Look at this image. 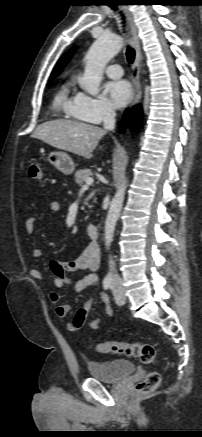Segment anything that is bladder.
<instances>
[{"instance_id": "obj_1", "label": "bladder", "mask_w": 202, "mask_h": 437, "mask_svg": "<svg viewBox=\"0 0 202 437\" xmlns=\"http://www.w3.org/2000/svg\"><path fill=\"white\" fill-rule=\"evenodd\" d=\"M87 366L92 378L107 383H117L135 371V364L126 359L90 361Z\"/></svg>"}]
</instances>
